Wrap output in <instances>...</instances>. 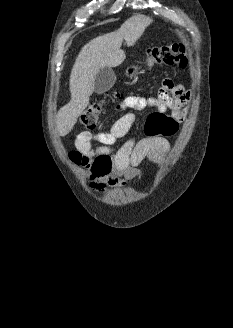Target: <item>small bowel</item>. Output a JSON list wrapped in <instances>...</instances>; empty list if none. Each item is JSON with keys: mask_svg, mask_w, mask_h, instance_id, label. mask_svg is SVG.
<instances>
[{"mask_svg": "<svg viewBox=\"0 0 233 328\" xmlns=\"http://www.w3.org/2000/svg\"><path fill=\"white\" fill-rule=\"evenodd\" d=\"M190 98V91L175 84L171 79H165L156 97L127 96L118 103L116 109L140 111L153 107L160 112L169 111L170 115L180 120L185 117L186 105ZM134 120L135 115L128 112L117 119L106 132H81L76 139V147L85 151L93 141H97L102 145L103 151L110 152L111 146L129 132ZM169 150L170 144L163 137L129 139L120 148L111 151L112 171L97 185V190L104 192L108 186H123L126 181L139 178L142 174L139 166L144 159L160 164Z\"/></svg>", "mask_w": 233, "mask_h": 328, "instance_id": "c3829d8e", "label": "small bowel"}]
</instances>
